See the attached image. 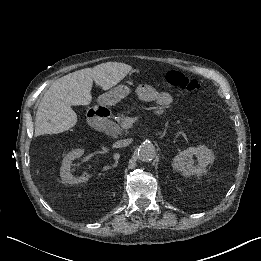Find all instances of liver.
I'll use <instances>...</instances> for the list:
<instances>
[{
	"label": "liver",
	"instance_id": "obj_1",
	"mask_svg": "<svg viewBox=\"0 0 261 261\" xmlns=\"http://www.w3.org/2000/svg\"><path fill=\"white\" fill-rule=\"evenodd\" d=\"M131 71V67L86 68L65 75L55 81L39 103L35 119V136L58 134L77 123V114L71 106H87L92 101L93 82L109 90Z\"/></svg>",
	"mask_w": 261,
	"mask_h": 261
}]
</instances>
